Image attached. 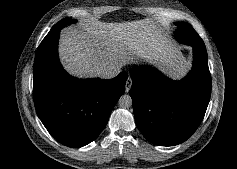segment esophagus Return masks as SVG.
Listing matches in <instances>:
<instances>
[{"mask_svg": "<svg viewBox=\"0 0 237 169\" xmlns=\"http://www.w3.org/2000/svg\"><path fill=\"white\" fill-rule=\"evenodd\" d=\"M131 85H132V79L127 78L126 92H129Z\"/></svg>", "mask_w": 237, "mask_h": 169, "instance_id": "34e87169", "label": "esophagus"}]
</instances>
